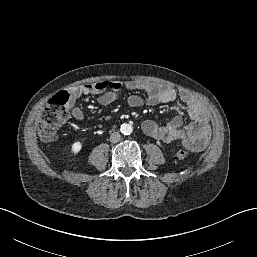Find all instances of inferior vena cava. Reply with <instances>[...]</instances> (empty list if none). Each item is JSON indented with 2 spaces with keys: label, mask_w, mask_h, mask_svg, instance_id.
<instances>
[{
  "label": "inferior vena cava",
  "mask_w": 257,
  "mask_h": 257,
  "mask_svg": "<svg viewBox=\"0 0 257 257\" xmlns=\"http://www.w3.org/2000/svg\"><path fill=\"white\" fill-rule=\"evenodd\" d=\"M120 138H121V135L118 132H113L110 135V142L117 143V142H119Z\"/></svg>",
  "instance_id": "602c4592"
}]
</instances>
